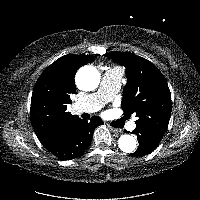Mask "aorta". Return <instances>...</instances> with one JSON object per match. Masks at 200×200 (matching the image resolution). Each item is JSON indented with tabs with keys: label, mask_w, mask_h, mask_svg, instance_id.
Masks as SVG:
<instances>
[{
	"label": "aorta",
	"mask_w": 200,
	"mask_h": 200,
	"mask_svg": "<svg viewBox=\"0 0 200 200\" xmlns=\"http://www.w3.org/2000/svg\"><path fill=\"white\" fill-rule=\"evenodd\" d=\"M100 82V74L93 66H84L76 74V84L83 91H92L96 89ZM118 146L125 153H132L137 147L136 139L124 134L118 140Z\"/></svg>",
	"instance_id": "1"
}]
</instances>
